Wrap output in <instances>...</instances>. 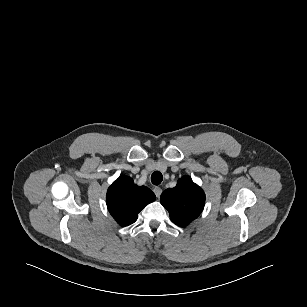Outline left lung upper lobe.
I'll return each instance as SVG.
<instances>
[{"instance_id": "1", "label": "left lung upper lobe", "mask_w": 307, "mask_h": 307, "mask_svg": "<svg viewBox=\"0 0 307 307\" xmlns=\"http://www.w3.org/2000/svg\"><path fill=\"white\" fill-rule=\"evenodd\" d=\"M161 204L176 225L186 226L202 212L205 194L190 177H182L174 188L166 189L161 194Z\"/></svg>"}]
</instances>
